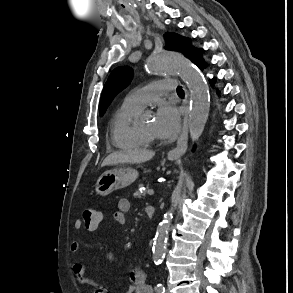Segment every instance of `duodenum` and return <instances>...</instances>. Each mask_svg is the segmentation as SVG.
I'll return each instance as SVG.
<instances>
[{
  "instance_id": "duodenum-1",
  "label": "duodenum",
  "mask_w": 293,
  "mask_h": 293,
  "mask_svg": "<svg viewBox=\"0 0 293 293\" xmlns=\"http://www.w3.org/2000/svg\"><path fill=\"white\" fill-rule=\"evenodd\" d=\"M146 215L149 219L153 218L155 213V208L153 206H147L145 208Z\"/></svg>"
}]
</instances>
